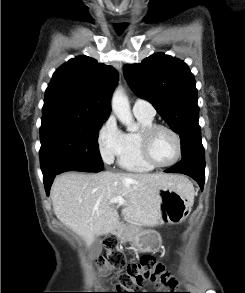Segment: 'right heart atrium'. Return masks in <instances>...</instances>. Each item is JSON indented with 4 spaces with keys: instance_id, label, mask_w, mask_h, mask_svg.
I'll return each instance as SVG.
<instances>
[{
    "instance_id": "obj_1",
    "label": "right heart atrium",
    "mask_w": 245,
    "mask_h": 293,
    "mask_svg": "<svg viewBox=\"0 0 245 293\" xmlns=\"http://www.w3.org/2000/svg\"><path fill=\"white\" fill-rule=\"evenodd\" d=\"M123 144L124 133L113 117H107L97 133V145L103 161L112 163L122 151Z\"/></svg>"
}]
</instances>
